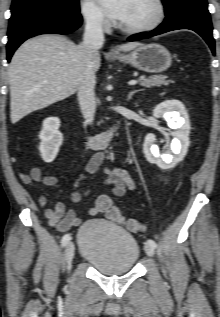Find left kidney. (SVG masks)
<instances>
[{
  "instance_id": "5707ae66",
  "label": "left kidney",
  "mask_w": 220,
  "mask_h": 317,
  "mask_svg": "<svg viewBox=\"0 0 220 317\" xmlns=\"http://www.w3.org/2000/svg\"><path fill=\"white\" fill-rule=\"evenodd\" d=\"M155 118L163 117L174 131L170 144V150L165 154L159 153V148L155 145V136L148 134L145 137L143 151L150 163L156 164L162 169L172 168L181 161L187 153L190 132V122L184 105L178 100H166L153 109Z\"/></svg>"
}]
</instances>
